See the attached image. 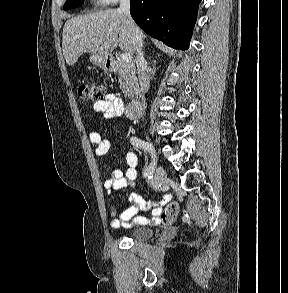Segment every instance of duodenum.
Listing matches in <instances>:
<instances>
[{
  "label": "duodenum",
  "mask_w": 288,
  "mask_h": 293,
  "mask_svg": "<svg viewBox=\"0 0 288 293\" xmlns=\"http://www.w3.org/2000/svg\"><path fill=\"white\" fill-rule=\"evenodd\" d=\"M107 66L109 69L114 70L116 69V62L113 58L108 59L107 61ZM143 95L141 93H137L133 100L130 103V109L133 113L138 114L140 109L142 108L143 105Z\"/></svg>",
  "instance_id": "obj_1"
}]
</instances>
